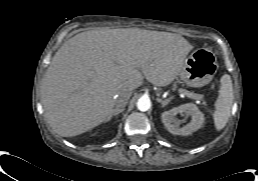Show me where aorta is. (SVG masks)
<instances>
[{
    "label": "aorta",
    "mask_w": 258,
    "mask_h": 181,
    "mask_svg": "<svg viewBox=\"0 0 258 181\" xmlns=\"http://www.w3.org/2000/svg\"><path fill=\"white\" fill-rule=\"evenodd\" d=\"M150 107H151V102H150L149 98L141 97V98L138 99L137 108L140 111L145 112V111L149 110Z\"/></svg>",
    "instance_id": "obj_1"
}]
</instances>
